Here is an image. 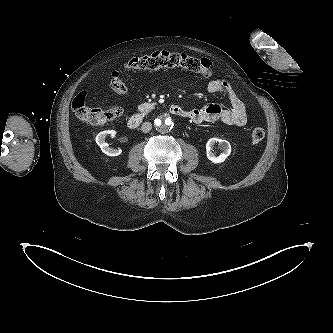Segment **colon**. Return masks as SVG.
Here are the masks:
<instances>
[{"instance_id":"obj_1","label":"colon","mask_w":333,"mask_h":333,"mask_svg":"<svg viewBox=\"0 0 333 333\" xmlns=\"http://www.w3.org/2000/svg\"><path fill=\"white\" fill-rule=\"evenodd\" d=\"M164 67H184L188 70L203 74H210L212 62L207 58H196L185 53L156 51L149 55L131 58L126 64L127 70H157ZM112 90L124 94L127 86L119 71H113L110 79ZM87 93H79L72 102L73 111L79 121L89 125H103L108 121L120 117L123 109L114 105L107 109L94 108L87 105ZM265 137V130L255 127L250 133V139L258 143Z\"/></svg>"}]
</instances>
